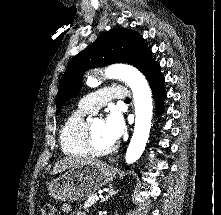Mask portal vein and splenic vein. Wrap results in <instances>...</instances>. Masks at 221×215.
Returning <instances> with one entry per match:
<instances>
[{"instance_id":"obj_1","label":"portal vein and splenic vein","mask_w":221,"mask_h":215,"mask_svg":"<svg viewBox=\"0 0 221 215\" xmlns=\"http://www.w3.org/2000/svg\"><path fill=\"white\" fill-rule=\"evenodd\" d=\"M93 199L96 200V201H98V200H99V197H98V196H94Z\"/></svg>"}]
</instances>
